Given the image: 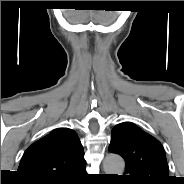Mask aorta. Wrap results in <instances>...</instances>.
Wrapping results in <instances>:
<instances>
[{"label":"aorta","instance_id":"aorta-1","mask_svg":"<svg viewBox=\"0 0 184 184\" xmlns=\"http://www.w3.org/2000/svg\"><path fill=\"white\" fill-rule=\"evenodd\" d=\"M103 168L105 174L121 175L124 171L125 163L121 156L116 154H109L104 159Z\"/></svg>","mask_w":184,"mask_h":184}]
</instances>
